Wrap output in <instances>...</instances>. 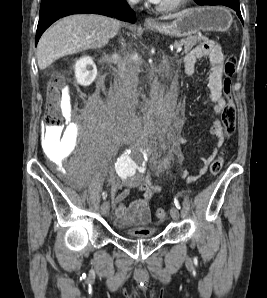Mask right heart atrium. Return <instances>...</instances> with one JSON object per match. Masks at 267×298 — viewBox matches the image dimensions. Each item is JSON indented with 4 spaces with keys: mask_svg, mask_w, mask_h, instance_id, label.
Instances as JSON below:
<instances>
[{
    "mask_svg": "<svg viewBox=\"0 0 267 298\" xmlns=\"http://www.w3.org/2000/svg\"><path fill=\"white\" fill-rule=\"evenodd\" d=\"M130 1L131 3H136L138 0H128Z\"/></svg>",
    "mask_w": 267,
    "mask_h": 298,
    "instance_id": "right-heart-atrium-1",
    "label": "right heart atrium"
}]
</instances>
